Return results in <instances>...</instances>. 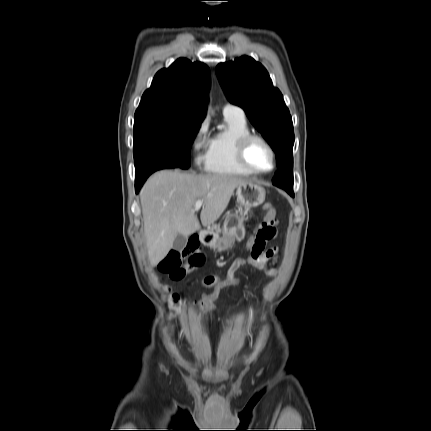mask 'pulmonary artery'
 <instances>
[{
    "label": "pulmonary artery",
    "instance_id": "e3ab8cb5",
    "mask_svg": "<svg viewBox=\"0 0 431 431\" xmlns=\"http://www.w3.org/2000/svg\"><path fill=\"white\" fill-rule=\"evenodd\" d=\"M223 114L224 115H236V116H241L244 117V112L241 108L232 105V104H226L223 107Z\"/></svg>",
    "mask_w": 431,
    "mask_h": 431
}]
</instances>
